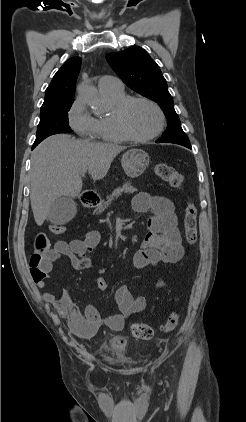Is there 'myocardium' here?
I'll return each instance as SVG.
<instances>
[{"label":"myocardium","mask_w":246,"mask_h":422,"mask_svg":"<svg viewBox=\"0 0 246 422\" xmlns=\"http://www.w3.org/2000/svg\"><path fill=\"white\" fill-rule=\"evenodd\" d=\"M135 102H145L151 105L158 113V116H159L158 128L153 133L147 136L135 135L127 125V121H126L127 110ZM113 119L117 128L122 133V135L128 141L137 142V143H144V142H148L150 140L155 139L162 133L166 124L165 114L162 108L159 106V104L153 101L152 99L144 97V96H128L124 100L119 102L113 109Z\"/></svg>","instance_id":"f54148a6"}]
</instances>
